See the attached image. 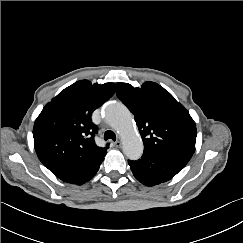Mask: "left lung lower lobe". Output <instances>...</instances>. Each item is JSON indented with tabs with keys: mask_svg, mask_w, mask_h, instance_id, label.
<instances>
[{
	"mask_svg": "<svg viewBox=\"0 0 243 243\" xmlns=\"http://www.w3.org/2000/svg\"><path fill=\"white\" fill-rule=\"evenodd\" d=\"M189 159L144 151L141 159L128 163L135 178L146 186H154L173 178Z\"/></svg>",
	"mask_w": 243,
	"mask_h": 243,
	"instance_id": "left-lung-lower-lobe-1",
	"label": "left lung lower lobe"
}]
</instances>
